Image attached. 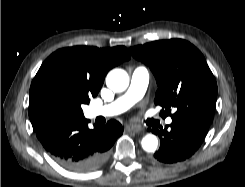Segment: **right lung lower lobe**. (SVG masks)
<instances>
[{
  "mask_svg": "<svg viewBox=\"0 0 245 187\" xmlns=\"http://www.w3.org/2000/svg\"><path fill=\"white\" fill-rule=\"evenodd\" d=\"M35 132L58 164L70 171L88 172L107 161L109 149L123 128L111 120L106 126L94 125V129H89L88 120L83 116L51 121Z\"/></svg>",
  "mask_w": 245,
  "mask_h": 187,
  "instance_id": "1",
  "label": "right lung lower lobe"
}]
</instances>
